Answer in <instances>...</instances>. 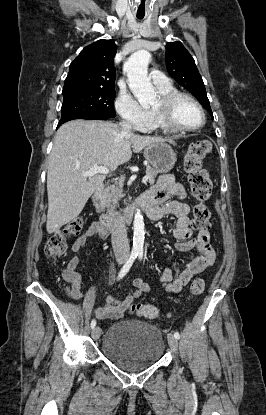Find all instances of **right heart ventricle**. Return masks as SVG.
<instances>
[{
    "instance_id": "e07e8e85",
    "label": "right heart ventricle",
    "mask_w": 266,
    "mask_h": 415,
    "mask_svg": "<svg viewBox=\"0 0 266 415\" xmlns=\"http://www.w3.org/2000/svg\"><path fill=\"white\" fill-rule=\"evenodd\" d=\"M157 87V89H158V91H159V93L160 94H163V93H168V92H171V91H174L175 90V88L172 86V84L170 83V84H168V85H164V86H156ZM150 113H151V119H150V122H149V125H148V129H151V130H161V131H164V132H168L169 130L168 129H166L160 122H159V120H158V118H157V116H156V114H155V112H154V110L152 109V110H150Z\"/></svg>"
}]
</instances>
